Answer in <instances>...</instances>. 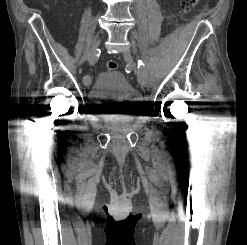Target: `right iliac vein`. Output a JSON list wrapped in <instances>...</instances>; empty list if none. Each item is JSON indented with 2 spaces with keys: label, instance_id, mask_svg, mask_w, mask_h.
Listing matches in <instances>:
<instances>
[{
  "label": "right iliac vein",
  "instance_id": "1",
  "mask_svg": "<svg viewBox=\"0 0 247 245\" xmlns=\"http://www.w3.org/2000/svg\"><path fill=\"white\" fill-rule=\"evenodd\" d=\"M101 38H98L92 45L89 57H88V62L89 64H96L98 61L97 57H93V55L97 52L98 47L100 45ZM83 83L85 86H89L91 84V77L89 75H85L83 78Z\"/></svg>",
  "mask_w": 247,
  "mask_h": 245
}]
</instances>
